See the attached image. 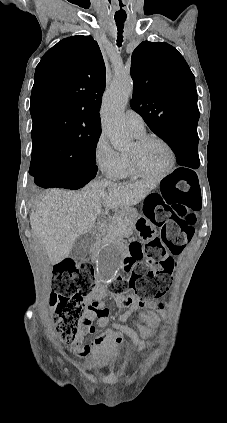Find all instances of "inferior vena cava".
Segmentation results:
<instances>
[{"label": "inferior vena cava", "mask_w": 227, "mask_h": 423, "mask_svg": "<svg viewBox=\"0 0 227 423\" xmlns=\"http://www.w3.org/2000/svg\"><path fill=\"white\" fill-rule=\"evenodd\" d=\"M101 178V176H100ZM112 182H105V186H111Z\"/></svg>", "instance_id": "602c4592"}]
</instances>
